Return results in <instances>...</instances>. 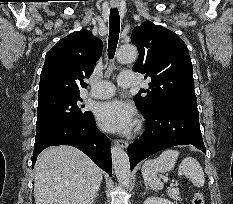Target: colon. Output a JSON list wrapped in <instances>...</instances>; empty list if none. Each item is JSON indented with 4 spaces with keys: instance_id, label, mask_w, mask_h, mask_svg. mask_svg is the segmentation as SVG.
Returning a JSON list of instances; mask_svg holds the SVG:
<instances>
[{
    "instance_id": "colon-1",
    "label": "colon",
    "mask_w": 233,
    "mask_h": 204,
    "mask_svg": "<svg viewBox=\"0 0 233 204\" xmlns=\"http://www.w3.org/2000/svg\"><path fill=\"white\" fill-rule=\"evenodd\" d=\"M192 204H204V196L201 192H196L194 194Z\"/></svg>"
}]
</instances>
